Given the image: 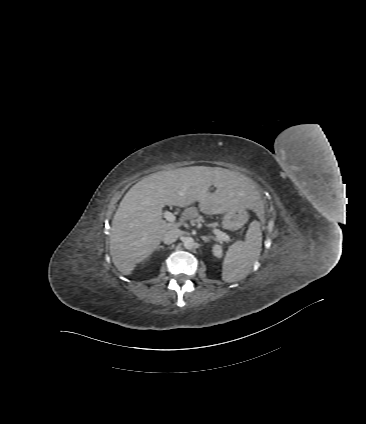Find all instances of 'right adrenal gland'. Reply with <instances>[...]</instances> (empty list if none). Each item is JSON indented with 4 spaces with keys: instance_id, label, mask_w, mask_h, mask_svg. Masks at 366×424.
I'll return each mask as SVG.
<instances>
[{
    "instance_id": "1",
    "label": "right adrenal gland",
    "mask_w": 366,
    "mask_h": 424,
    "mask_svg": "<svg viewBox=\"0 0 366 424\" xmlns=\"http://www.w3.org/2000/svg\"><path fill=\"white\" fill-rule=\"evenodd\" d=\"M160 249H165V247L164 246H162V245H159L158 247H157V251H159Z\"/></svg>"
}]
</instances>
